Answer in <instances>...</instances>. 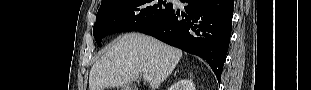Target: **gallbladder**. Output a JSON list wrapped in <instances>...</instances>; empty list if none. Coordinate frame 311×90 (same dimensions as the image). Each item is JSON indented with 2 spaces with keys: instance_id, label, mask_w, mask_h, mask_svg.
<instances>
[{
  "instance_id": "obj_1",
  "label": "gallbladder",
  "mask_w": 311,
  "mask_h": 90,
  "mask_svg": "<svg viewBox=\"0 0 311 90\" xmlns=\"http://www.w3.org/2000/svg\"><path fill=\"white\" fill-rule=\"evenodd\" d=\"M137 87L134 84L125 85L122 87V90H136Z\"/></svg>"
}]
</instances>
